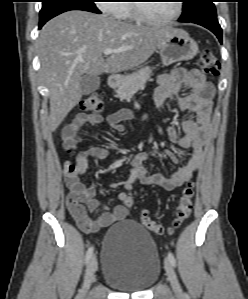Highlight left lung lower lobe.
<instances>
[{"mask_svg": "<svg viewBox=\"0 0 248 299\" xmlns=\"http://www.w3.org/2000/svg\"><path fill=\"white\" fill-rule=\"evenodd\" d=\"M193 23L204 26L205 28L212 31L217 36L220 43H222V29H221L217 19H202V20H198Z\"/></svg>", "mask_w": 248, "mask_h": 299, "instance_id": "0a47b994", "label": "left lung lower lobe"}]
</instances>
